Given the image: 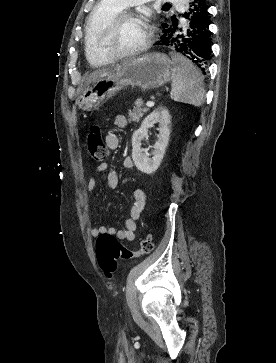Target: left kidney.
I'll use <instances>...</instances> for the list:
<instances>
[{
	"mask_svg": "<svg viewBox=\"0 0 276 363\" xmlns=\"http://www.w3.org/2000/svg\"><path fill=\"white\" fill-rule=\"evenodd\" d=\"M171 118L163 107L155 109L142 122L141 127L132 136V159L138 170L146 174L154 173L160 166L169 142ZM158 125L159 134L153 148V156L141 149V142L148 135V130Z\"/></svg>",
	"mask_w": 276,
	"mask_h": 363,
	"instance_id": "1",
	"label": "left kidney"
}]
</instances>
